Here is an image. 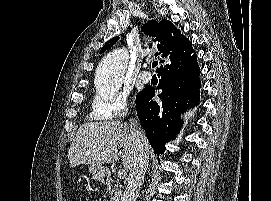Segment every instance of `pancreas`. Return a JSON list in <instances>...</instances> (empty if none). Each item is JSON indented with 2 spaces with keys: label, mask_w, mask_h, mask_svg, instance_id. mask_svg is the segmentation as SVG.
I'll use <instances>...</instances> for the list:
<instances>
[{
  "label": "pancreas",
  "mask_w": 271,
  "mask_h": 201,
  "mask_svg": "<svg viewBox=\"0 0 271 201\" xmlns=\"http://www.w3.org/2000/svg\"><path fill=\"white\" fill-rule=\"evenodd\" d=\"M122 193V186L119 183H115L112 189H109L107 194L109 196V200L107 201H119Z\"/></svg>",
  "instance_id": "1"
}]
</instances>
